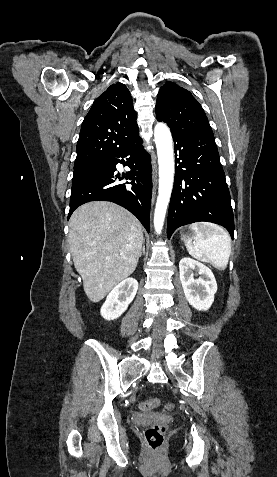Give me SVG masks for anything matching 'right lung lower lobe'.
<instances>
[{"label": "right lung lower lobe", "instance_id": "obj_1", "mask_svg": "<svg viewBox=\"0 0 277 477\" xmlns=\"http://www.w3.org/2000/svg\"><path fill=\"white\" fill-rule=\"evenodd\" d=\"M117 163L129 166L131 171L120 175L116 170ZM123 179L131 180V186L127 185L128 182L121 183ZM151 193L150 156L139 137L73 177L68 219L86 202L111 201L133 213L149 232Z\"/></svg>", "mask_w": 277, "mask_h": 477}]
</instances>
